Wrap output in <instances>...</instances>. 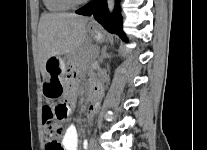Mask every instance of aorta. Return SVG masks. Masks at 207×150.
Wrapping results in <instances>:
<instances>
[{
	"instance_id": "1",
	"label": "aorta",
	"mask_w": 207,
	"mask_h": 150,
	"mask_svg": "<svg viewBox=\"0 0 207 150\" xmlns=\"http://www.w3.org/2000/svg\"><path fill=\"white\" fill-rule=\"evenodd\" d=\"M107 6L109 12L112 13L115 6V0H107Z\"/></svg>"
}]
</instances>
